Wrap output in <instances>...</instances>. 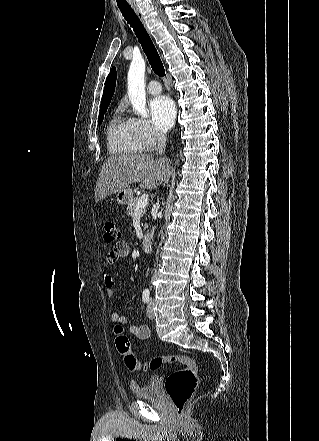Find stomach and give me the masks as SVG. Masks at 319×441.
Instances as JSON below:
<instances>
[{"label": "stomach", "mask_w": 319, "mask_h": 441, "mask_svg": "<svg viewBox=\"0 0 319 441\" xmlns=\"http://www.w3.org/2000/svg\"><path fill=\"white\" fill-rule=\"evenodd\" d=\"M117 202L121 205L129 204L133 199V193L131 189H123L117 193Z\"/></svg>", "instance_id": "1"}]
</instances>
